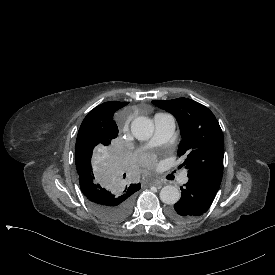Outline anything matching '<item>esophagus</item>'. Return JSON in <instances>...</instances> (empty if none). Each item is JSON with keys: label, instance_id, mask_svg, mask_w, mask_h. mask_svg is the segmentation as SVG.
I'll return each mask as SVG.
<instances>
[{"label": "esophagus", "instance_id": "obj_1", "mask_svg": "<svg viewBox=\"0 0 275 275\" xmlns=\"http://www.w3.org/2000/svg\"><path fill=\"white\" fill-rule=\"evenodd\" d=\"M152 185H153V186H156V187H160V186L162 185V181L159 180V179H154V180L152 181Z\"/></svg>", "mask_w": 275, "mask_h": 275}]
</instances>
